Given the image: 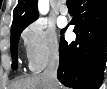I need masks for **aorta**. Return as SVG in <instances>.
<instances>
[{
    "mask_svg": "<svg viewBox=\"0 0 107 89\" xmlns=\"http://www.w3.org/2000/svg\"><path fill=\"white\" fill-rule=\"evenodd\" d=\"M38 9L40 14H47L49 11V0H39Z\"/></svg>",
    "mask_w": 107,
    "mask_h": 89,
    "instance_id": "aorta-1",
    "label": "aorta"
}]
</instances>
